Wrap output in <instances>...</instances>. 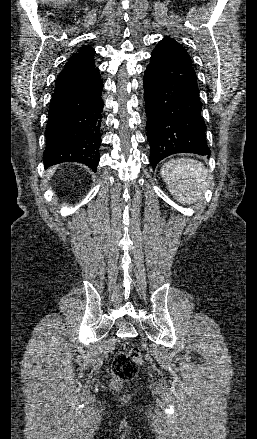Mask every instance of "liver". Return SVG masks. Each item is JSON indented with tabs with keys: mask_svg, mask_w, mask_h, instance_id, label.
Segmentation results:
<instances>
[{
	"mask_svg": "<svg viewBox=\"0 0 257 439\" xmlns=\"http://www.w3.org/2000/svg\"><path fill=\"white\" fill-rule=\"evenodd\" d=\"M54 172H55V168L51 169V170L48 172V178H50V177L53 175Z\"/></svg>",
	"mask_w": 257,
	"mask_h": 439,
	"instance_id": "liver-1",
	"label": "liver"
}]
</instances>
